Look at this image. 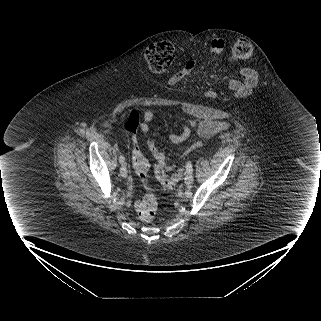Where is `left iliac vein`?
Returning <instances> with one entry per match:
<instances>
[{
	"label": "left iliac vein",
	"mask_w": 321,
	"mask_h": 321,
	"mask_svg": "<svg viewBox=\"0 0 321 321\" xmlns=\"http://www.w3.org/2000/svg\"><path fill=\"white\" fill-rule=\"evenodd\" d=\"M193 180H194V179H193L192 174L187 173V174H186V177H185V184L188 185V186H190V185H192Z\"/></svg>",
	"instance_id": "left-iliac-vein-1"
}]
</instances>
